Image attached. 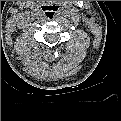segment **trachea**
<instances>
[{
	"mask_svg": "<svg viewBox=\"0 0 121 121\" xmlns=\"http://www.w3.org/2000/svg\"><path fill=\"white\" fill-rule=\"evenodd\" d=\"M56 9L55 8H53V7H48L47 9H46V16L49 18V19H52V18H54L55 17V15H56Z\"/></svg>",
	"mask_w": 121,
	"mask_h": 121,
	"instance_id": "obj_1",
	"label": "trachea"
}]
</instances>
